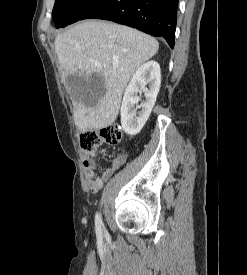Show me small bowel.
<instances>
[{
  "mask_svg": "<svg viewBox=\"0 0 247 275\" xmlns=\"http://www.w3.org/2000/svg\"><path fill=\"white\" fill-rule=\"evenodd\" d=\"M125 160L126 157L124 155H118L110 161L106 168L99 170L95 161L92 159L91 153L85 151L83 153L84 175L90 191L92 193L98 192L104 182L123 165Z\"/></svg>",
  "mask_w": 247,
  "mask_h": 275,
  "instance_id": "c3829d8e",
  "label": "small bowel"
}]
</instances>
